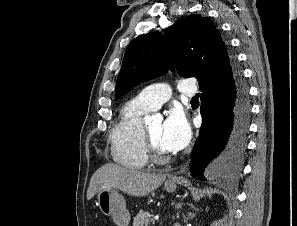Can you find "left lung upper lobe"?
<instances>
[{"mask_svg": "<svg viewBox=\"0 0 297 226\" xmlns=\"http://www.w3.org/2000/svg\"><path fill=\"white\" fill-rule=\"evenodd\" d=\"M233 57L214 23L202 15L176 21L162 36L151 32L135 38L127 47L117 77L115 99L133 86L173 70L199 82L232 72Z\"/></svg>", "mask_w": 297, "mask_h": 226, "instance_id": "5c2ea615", "label": "left lung upper lobe"}]
</instances>
